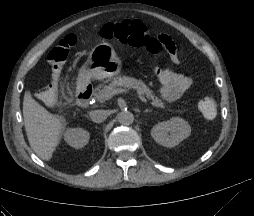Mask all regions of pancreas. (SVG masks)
I'll list each match as a JSON object with an SVG mask.
<instances>
[{
    "instance_id": "1",
    "label": "pancreas",
    "mask_w": 254,
    "mask_h": 216,
    "mask_svg": "<svg viewBox=\"0 0 254 216\" xmlns=\"http://www.w3.org/2000/svg\"><path fill=\"white\" fill-rule=\"evenodd\" d=\"M125 87L128 89L137 90L138 94L142 95L143 97L148 98L151 100V104L157 108H165V103L162 99L158 98L155 93L149 89L141 80H137L132 77L127 76H115L109 77L101 86L99 91L96 94V98L98 101H103L105 99L104 95L107 90L109 89H116L117 87Z\"/></svg>"
}]
</instances>
